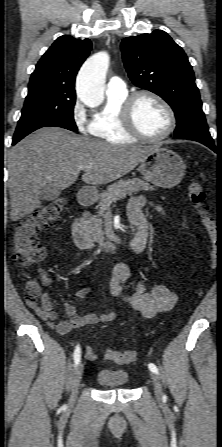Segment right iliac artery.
I'll return each mask as SVG.
<instances>
[{"label": "right iliac artery", "instance_id": "obj_1", "mask_svg": "<svg viewBox=\"0 0 222 447\" xmlns=\"http://www.w3.org/2000/svg\"><path fill=\"white\" fill-rule=\"evenodd\" d=\"M80 359H81V349H80V346L77 345L76 349L74 351V363H75V366H77L79 364Z\"/></svg>", "mask_w": 222, "mask_h": 447}]
</instances>
